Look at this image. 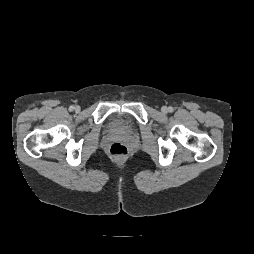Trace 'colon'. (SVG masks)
Returning <instances> with one entry per match:
<instances>
[{"instance_id":"obj_1","label":"colon","mask_w":254,"mask_h":254,"mask_svg":"<svg viewBox=\"0 0 254 254\" xmlns=\"http://www.w3.org/2000/svg\"><path fill=\"white\" fill-rule=\"evenodd\" d=\"M109 154L115 159H123L128 155V149L124 144L116 142L109 147Z\"/></svg>"}]
</instances>
